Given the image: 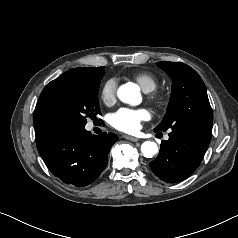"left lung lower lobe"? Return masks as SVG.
<instances>
[{
    "label": "left lung lower lobe",
    "instance_id": "0a47b994",
    "mask_svg": "<svg viewBox=\"0 0 238 238\" xmlns=\"http://www.w3.org/2000/svg\"><path fill=\"white\" fill-rule=\"evenodd\" d=\"M210 141L211 136L205 134L172 130L169 139L162 141L159 155L150 168L165 182L183 181L198 168Z\"/></svg>",
    "mask_w": 238,
    "mask_h": 238
}]
</instances>
